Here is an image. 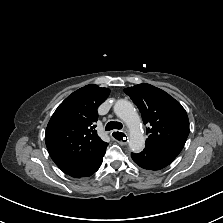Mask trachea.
Here are the masks:
<instances>
[{
    "label": "trachea",
    "instance_id": "1",
    "mask_svg": "<svg viewBox=\"0 0 223 223\" xmlns=\"http://www.w3.org/2000/svg\"><path fill=\"white\" fill-rule=\"evenodd\" d=\"M122 128H123L122 123L117 122V121H111V122L107 123V125H106V127H105V130H106V131H111V130H113V129H118V130H120V129H122Z\"/></svg>",
    "mask_w": 223,
    "mask_h": 223
}]
</instances>
